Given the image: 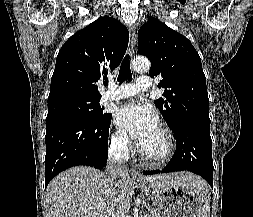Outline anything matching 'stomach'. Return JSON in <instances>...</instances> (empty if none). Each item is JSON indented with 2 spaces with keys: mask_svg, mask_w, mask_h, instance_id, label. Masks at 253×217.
Wrapping results in <instances>:
<instances>
[{
  "mask_svg": "<svg viewBox=\"0 0 253 217\" xmlns=\"http://www.w3.org/2000/svg\"><path fill=\"white\" fill-rule=\"evenodd\" d=\"M140 187L155 198L162 217H201L204 192L199 188L170 181L157 188H151L147 182Z\"/></svg>",
  "mask_w": 253,
  "mask_h": 217,
  "instance_id": "stomach-1",
  "label": "stomach"
}]
</instances>
